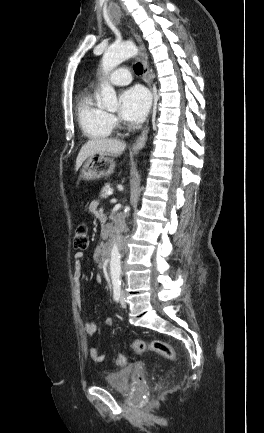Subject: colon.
<instances>
[{"mask_svg":"<svg viewBox=\"0 0 264 433\" xmlns=\"http://www.w3.org/2000/svg\"><path fill=\"white\" fill-rule=\"evenodd\" d=\"M74 247L78 250H86L89 246V232L86 225L81 224L77 227L74 235ZM133 349L136 353L153 352L164 357L168 362L174 363L176 360V353L173 347L162 340H135ZM127 358L124 354H119L115 359V364L119 366L125 365Z\"/></svg>","mask_w":264,"mask_h":433,"instance_id":"5ec220e1","label":"colon"}]
</instances>
